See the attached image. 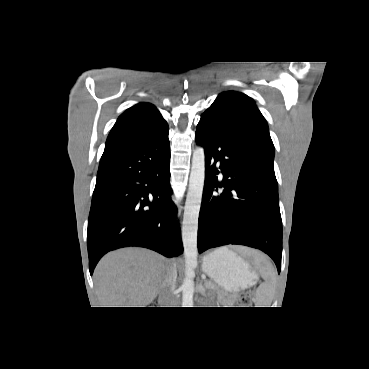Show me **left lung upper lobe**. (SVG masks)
<instances>
[{"label":"left lung upper lobe","mask_w":369,"mask_h":369,"mask_svg":"<svg viewBox=\"0 0 369 369\" xmlns=\"http://www.w3.org/2000/svg\"><path fill=\"white\" fill-rule=\"evenodd\" d=\"M202 116L213 118L229 132L253 143L273 161L274 145L267 122L247 95L235 91L223 92Z\"/></svg>","instance_id":"left-lung-upper-lobe-1"}]
</instances>
